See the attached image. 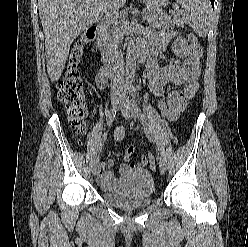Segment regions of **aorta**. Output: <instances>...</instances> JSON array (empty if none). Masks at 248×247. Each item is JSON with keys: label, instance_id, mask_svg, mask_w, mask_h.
Masks as SVG:
<instances>
[{"label": "aorta", "instance_id": "obj_1", "mask_svg": "<svg viewBox=\"0 0 248 247\" xmlns=\"http://www.w3.org/2000/svg\"><path fill=\"white\" fill-rule=\"evenodd\" d=\"M136 45L135 38L130 36L127 40V53H126V73L125 79L127 84H132L135 78L136 70Z\"/></svg>", "mask_w": 248, "mask_h": 247}]
</instances>
